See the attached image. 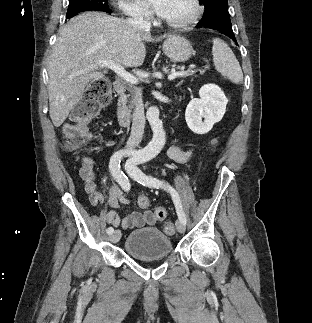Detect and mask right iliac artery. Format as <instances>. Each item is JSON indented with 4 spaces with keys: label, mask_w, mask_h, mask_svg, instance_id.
I'll use <instances>...</instances> for the list:
<instances>
[{
    "label": "right iliac artery",
    "mask_w": 312,
    "mask_h": 323,
    "mask_svg": "<svg viewBox=\"0 0 312 323\" xmlns=\"http://www.w3.org/2000/svg\"><path fill=\"white\" fill-rule=\"evenodd\" d=\"M126 155V152L124 151H118L115 152L111 159H110V165L109 168L111 170L112 175L114 176V178L116 179V181L120 184V186L122 187V189H124L125 191H129L130 190V182L128 177L120 170V162H121V158L123 156ZM135 159L138 158H130L129 160H127L125 168H132L135 167L136 165V161ZM114 231V229L112 227H109L107 229V233L108 234H112Z\"/></svg>",
    "instance_id": "right-iliac-artery-1"
}]
</instances>
